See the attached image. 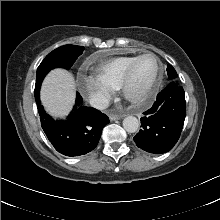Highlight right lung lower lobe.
I'll return each instance as SVG.
<instances>
[{"label":"right lung lower lobe","mask_w":220,"mask_h":220,"mask_svg":"<svg viewBox=\"0 0 220 220\" xmlns=\"http://www.w3.org/2000/svg\"><path fill=\"white\" fill-rule=\"evenodd\" d=\"M40 86L35 87V100L42 128L54 148L71 157L92 151L99 142L103 127L110 122L109 118L95 108L75 106L67 119L54 120L40 104ZM81 102L82 97L77 93L76 104Z\"/></svg>","instance_id":"1"}]
</instances>
